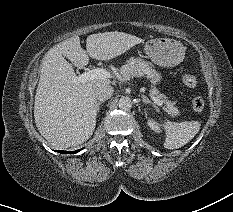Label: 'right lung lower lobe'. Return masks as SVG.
Returning a JSON list of instances; mask_svg holds the SVG:
<instances>
[{
	"label": "right lung lower lobe",
	"instance_id": "1",
	"mask_svg": "<svg viewBox=\"0 0 233 212\" xmlns=\"http://www.w3.org/2000/svg\"><path fill=\"white\" fill-rule=\"evenodd\" d=\"M79 150H76V151H72V152H67V151H62V150H58L59 153H62V154H68V153H77Z\"/></svg>",
	"mask_w": 233,
	"mask_h": 212
}]
</instances>
